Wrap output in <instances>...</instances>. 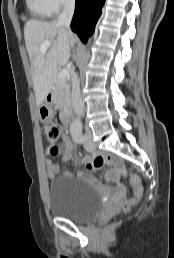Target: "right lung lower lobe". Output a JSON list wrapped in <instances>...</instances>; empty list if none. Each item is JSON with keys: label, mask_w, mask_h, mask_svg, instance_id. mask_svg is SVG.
I'll use <instances>...</instances> for the list:
<instances>
[{"label": "right lung lower lobe", "mask_w": 174, "mask_h": 258, "mask_svg": "<svg viewBox=\"0 0 174 258\" xmlns=\"http://www.w3.org/2000/svg\"><path fill=\"white\" fill-rule=\"evenodd\" d=\"M105 0H76L75 13L71 22V29L86 42L94 31Z\"/></svg>", "instance_id": "98d812e1"}]
</instances>
